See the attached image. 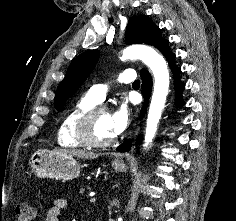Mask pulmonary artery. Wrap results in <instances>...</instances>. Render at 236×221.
Listing matches in <instances>:
<instances>
[{
    "label": "pulmonary artery",
    "instance_id": "obj_1",
    "mask_svg": "<svg viewBox=\"0 0 236 221\" xmlns=\"http://www.w3.org/2000/svg\"><path fill=\"white\" fill-rule=\"evenodd\" d=\"M135 78H136L135 71L132 69H126L117 75L116 80L120 83H130L134 81ZM108 89H109V85L107 83H100V84L93 85L88 90L87 94L94 101L100 103L103 101Z\"/></svg>",
    "mask_w": 236,
    "mask_h": 221
}]
</instances>
